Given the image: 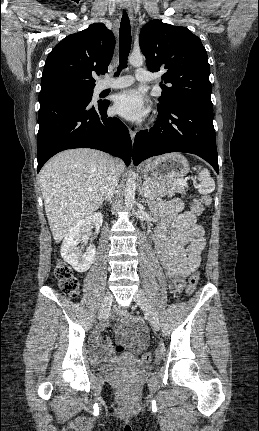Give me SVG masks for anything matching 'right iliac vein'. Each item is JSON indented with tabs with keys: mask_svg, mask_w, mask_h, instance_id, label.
<instances>
[{
	"mask_svg": "<svg viewBox=\"0 0 259 431\" xmlns=\"http://www.w3.org/2000/svg\"><path fill=\"white\" fill-rule=\"evenodd\" d=\"M112 300H113V296H112V294L111 293H107L106 294V296H105V298H104V300H103V302H102V305H101V307H100V309H99V313H98V318L101 320L105 315H106V313L109 311V309H110V307H111V304H112Z\"/></svg>",
	"mask_w": 259,
	"mask_h": 431,
	"instance_id": "obj_1",
	"label": "right iliac vein"
}]
</instances>
